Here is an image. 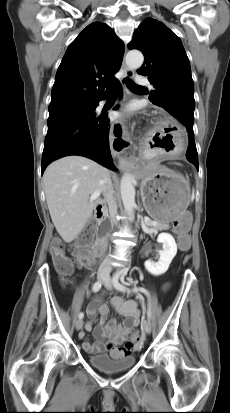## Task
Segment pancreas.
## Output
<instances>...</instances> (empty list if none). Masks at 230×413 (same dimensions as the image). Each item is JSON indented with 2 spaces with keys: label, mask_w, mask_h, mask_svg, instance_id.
Segmentation results:
<instances>
[{
  "label": "pancreas",
  "mask_w": 230,
  "mask_h": 413,
  "mask_svg": "<svg viewBox=\"0 0 230 413\" xmlns=\"http://www.w3.org/2000/svg\"><path fill=\"white\" fill-rule=\"evenodd\" d=\"M148 225H151V222ZM154 228L157 230H166L169 229L170 226L168 223H157Z\"/></svg>",
  "instance_id": "pancreas-1"
}]
</instances>
